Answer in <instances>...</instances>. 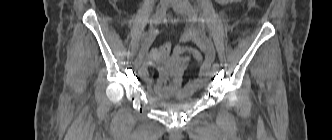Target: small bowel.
<instances>
[{
  "label": "small bowel",
  "mask_w": 332,
  "mask_h": 140,
  "mask_svg": "<svg viewBox=\"0 0 332 140\" xmlns=\"http://www.w3.org/2000/svg\"><path fill=\"white\" fill-rule=\"evenodd\" d=\"M218 4L227 6L241 2L242 0H215ZM192 41L200 49V51L186 47L184 44ZM150 39L147 46L150 45ZM191 52L200 62V74L197 79L188 82L182 86V74L180 71H172L162 65L163 59L158 57V49H153L149 57L144 61L140 68L141 77L152 85L155 92L162 97H181L195 89L201 87L210 76V66L215 59V49L212 42L207 37L195 35L192 32H185L178 37L177 43L174 45L172 52L174 55H181L184 52ZM156 66L159 69V77L154 83L150 77L148 68Z\"/></svg>",
  "instance_id": "obj_1"
}]
</instances>
